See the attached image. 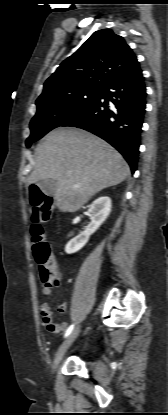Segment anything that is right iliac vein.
I'll list each match as a JSON object with an SVG mask.
<instances>
[{
    "label": "right iliac vein",
    "instance_id": "1",
    "mask_svg": "<svg viewBox=\"0 0 168 415\" xmlns=\"http://www.w3.org/2000/svg\"><path fill=\"white\" fill-rule=\"evenodd\" d=\"M79 332H80V327H77L68 335L65 341L61 344V346L59 347L55 355L53 365H52V371H55V369L58 367L65 353L67 352L69 347L72 345V343L75 341V339L79 335Z\"/></svg>",
    "mask_w": 168,
    "mask_h": 415
}]
</instances>
